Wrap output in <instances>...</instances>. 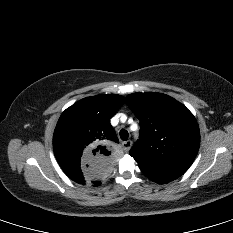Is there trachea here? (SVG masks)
I'll return each instance as SVG.
<instances>
[{"mask_svg": "<svg viewBox=\"0 0 233 233\" xmlns=\"http://www.w3.org/2000/svg\"><path fill=\"white\" fill-rule=\"evenodd\" d=\"M128 136H129L128 131H126V130L120 131V137L123 141H126L128 139Z\"/></svg>", "mask_w": 233, "mask_h": 233, "instance_id": "trachea-1", "label": "trachea"}]
</instances>
